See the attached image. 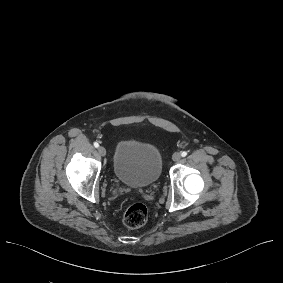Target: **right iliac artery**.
Segmentation results:
<instances>
[{
	"label": "right iliac artery",
	"mask_w": 283,
	"mask_h": 283,
	"mask_svg": "<svg viewBox=\"0 0 283 283\" xmlns=\"http://www.w3.org/2000/svg\"><path fill=\"white\" fill-rule=\"evenodd\" d=\"M94 146H95L96 148H98V147H99V144H98L97 142H95V143H94Z\"/></svg>",
	"instance_id": "obj_1"
}]
</instances>
